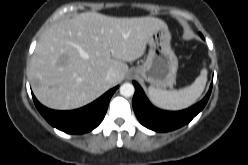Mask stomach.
<instances>
[{"instance_id": "0dacf381", "label": "stomach", "mask_w": 248, "mask_h": 165, "mask_svg": "<svg viewBox=\"0 0 248 165\" xmlns=\"http://www.w3.org/2000/svg\"><path fill=\"white\" fill-rule=\"evenodd\" d=\"M168 28L156 30L148 39L146 60L134 69V73L149 82L152 87L165 89L176 82L178 60L171 45Z\"/></svg>"}]
</instances>
